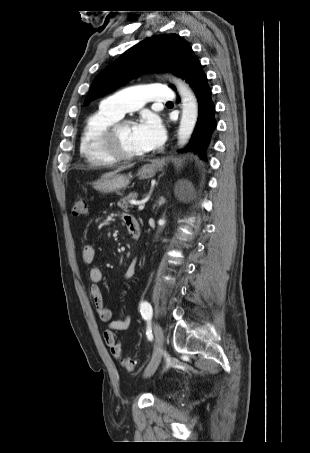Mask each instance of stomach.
Listing matches in <instances>:
<instances>
[{"label": "stomach", "instance_id": "obj_1", "mask_svg": "<svg viewBox=\"0 0 310 453\" xmlns=\"http://www.w3.org/2000/svg\"><path fill=\"white\" fill-rule=\"evenodd\" d=\"M155 164H146L142 166L137 175L140 179H148L156 174ZM130 184V177L122 174H114L110 177L101 178L94 183V188L103 193L119 191Z\"/></svg>", "mask_w": 310, "mask_h": 453}]
</instances>
